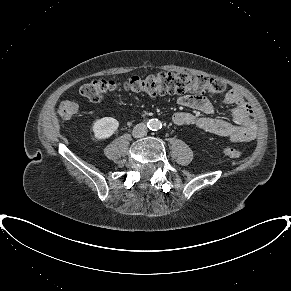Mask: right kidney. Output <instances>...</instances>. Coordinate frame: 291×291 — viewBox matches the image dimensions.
Masks as SVG:
<instances>
[{"label": "right kidney", "instance_id": "1", "mask_svg": "<svg viewBox=\"0 0 291 291\" xmlns=\"http://www.w3.org/2000/svg\"><path fill=\"white\" fill-rule=\"evenodd\" d=\"M119 127V122L113 117H104L93 123L92 130L96 140L111 137Z\"/></svg>", "mask_w": 291, "mask_h": 291}]
</instances>
